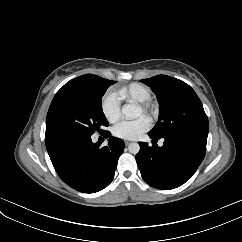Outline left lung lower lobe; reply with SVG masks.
<instances>
[{"mask_svg":"<svg viewBox=\"0 0 242 242\" xmlns=\"http://www.w3.org/2000/svg\"><path fill=\"white\" fill-rule=\"evenodd\" d=\"M153 140L155 137L148 134ZM206 133L188 132L164 138L162 147H149L139 142L136 155L138 168L144 181L150 186L170 190L188 181L206 153Z\"/></svg>","mask_w":242,"mask_h":242,"instance_id":"0a47b994","label":"left lung lower lobe"}]
</instances>
